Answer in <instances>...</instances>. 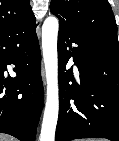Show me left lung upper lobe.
Returning <instances> with one entry per match:
<instances>
[{"mask_svg": "<svg viewBox=\"0 0 119 141\" xmlns=\"http://www.w3.org/2000/svg\"><path fill=\"white\" fill-rule=\"evenodd\" d=\"M50 9L60 25L119 48L117 25L108 0H52Z\"/></svg>", "mask_w": 119, "mask_h": 141, "instance_id": "1", "label": "left lung upper lobe"}]
</instances>
